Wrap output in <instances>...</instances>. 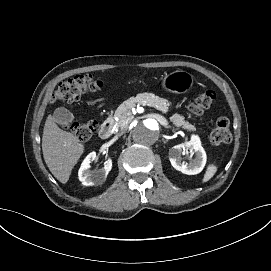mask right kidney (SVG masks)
<instances>
[{"label":"right kidney","instance_id":"ca27d5eb","mask_svg":"<svg viewBox=\"0 0 271 271\" xmlns=\"http://www.w3.org/2000/svg\"><path fill=\"white\" fill-rule=\"evenodd\" d=\"M96 159V153L91 152L83 160L78 171L79 180L85 186L101 185L105 182L109 171L112 168V161L109 159L103 168L98 170H90V163Z\"/></svg>","mask_w":271,"mask_h":271}]
</instances>
